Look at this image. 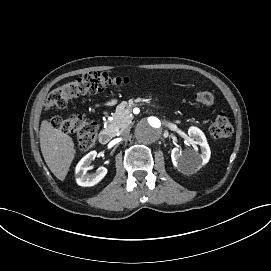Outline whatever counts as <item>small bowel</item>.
Instances as JSON below:
<instances>
[{
  "instance_id": "small-bowel-1",
  "label": "small bowel",
  "mask_w": 271,
  "mask_h": 271,
  "mask_svg": "<svg viewBox=\"0 0 271 271\" xmlns=\"http://www.w3.org/2000/svg\"><path fill=\"white\" fill-rule=\"evenodd\" d=\"M115 103H116L115 99H110L105 104L111 106V105H114Z\"/></svg>"
}]
</instances>
